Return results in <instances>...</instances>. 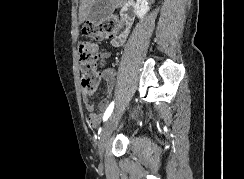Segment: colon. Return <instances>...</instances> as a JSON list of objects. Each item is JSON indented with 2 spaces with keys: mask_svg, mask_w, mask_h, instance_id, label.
<instances>
[{
  "mask_svg": "<svg viewBox=\"0 0 244 179\" xmlns=\"http://www.w3.org/2000/svg\"><path fill=\"white\" fill-rule=\"evenodd\" d=\"M120 23L115 18L104 19L98 22H88L82 26L81 33L91 41L115 34ZM79 67L82 72V87L89 94L94 95L102 78L103 64L99 60L94 43L84 41L78 46ZM93 123H96L92 119Z\"/></svg>",
  "mask_w": 244,
  "mask_h": 179,
  "instance_id": "5ec220e1",
  "label": "colon"
}]
</instances>
